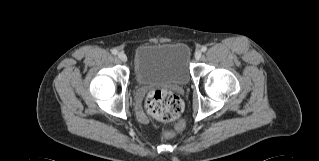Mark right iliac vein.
I'll return each mask as SVG.
<instances>
[{
    "label": "right iliac vein",
    "mask_w": 319,
    "mask_h": 161,
    "mask_svg": "<svg viewBox=\"0 0 319 161\" xmlns=\"http://www.w3.org/2000/svg\"><path fill=\"white\" fill-rule=\"evenodd\" d=\"M118 58L119 60H121L122 62H126L127 61V55L124 52H119L118 53Z\"/></svg>",
    "instance_id": "obj_1"
}]
</instances>
